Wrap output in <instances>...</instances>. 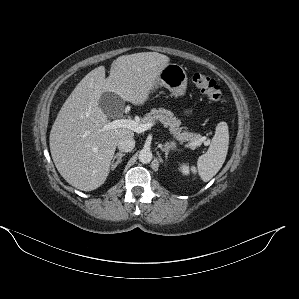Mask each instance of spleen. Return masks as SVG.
<instances>
[{
	"label": "spleen",
	"mask_w": 299,
	"mask_h": 299,
	"mask_svg": "<svg viewBox=\"0 0 299 299\" xmlns=\"http://www.w3.org/2000/svg\"><path fill=\"white\" fill-rule=\"evenodd\" d=\"M228 145L229 132L227 123L220 122L216 126L215 134L207 152L198 158L197 170L196 167L192 166V172L196 173L198 171L201 179L204 182H208L217 174L225 162Z\"/></svg>",
	"instance_id": "1"
}]
</instances>
